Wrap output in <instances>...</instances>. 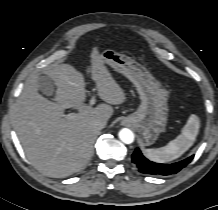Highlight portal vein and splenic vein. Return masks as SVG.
<instances>
[{
    "instance_id": "obj_1",
    "label": "portal vein and splenic vein",
    "mask_w": 218,
    "mask_h": 210,
    "mask_svg": "<svg viewBox=\"0 0 218 210\" xmlns=\"http://www.w3.org/2000/svg\"><path fill=\"white\" fill-rule=\"evenodd\" d=\"M93 104H95V98H94V97H92V99L90 100V105H93ZM77 116H78L77 113H70V114H68V115L66 116V118H68V119H74V118H76Z\"/></svg>"
}]
</instances>
